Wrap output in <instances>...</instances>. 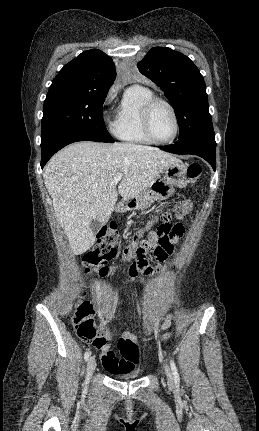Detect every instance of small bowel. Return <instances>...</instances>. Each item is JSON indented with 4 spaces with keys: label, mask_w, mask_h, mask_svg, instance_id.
Wrapping results in <instances>:
<instances>
[{
    "label": "small bowel",
    "mask_w": 259,
    "mask_h": 431,
    "mask_svg": "<svg viewBox=\"0 0 259 431\" xmlns=\"http://www.w3.org/2000/svg\"><path fill=\"white\" fill-rule=\"evenodd\" d=\"M183 218V216H182ZM180 218V219H182ZM151 236V235H150ZM160 269H153L148 266H135L129 268L128 279L133 282H138L139 280L144 279L145 276H150L154 273H158ZM142 285H145V282H142ZM125 302L133 305V301L129 298L125 299ZM172 320V314L168 313L161 324V329H166L170 326ZM105 340L112 339V334L108 328L104 330ZM120 340L123 341H131L133 343L136 342V336L130 332H125ZM97 349L101 351V359L104 368L110 373L122 372L125 366H129L131 369L135 367L139 363L140 356L139 352L135 353L133 356L123 355V359H118L113 351H111L106 344V342L102 345L95 346Z\"/></svg>",
    "instance_id": "1"
}]
</instances>
